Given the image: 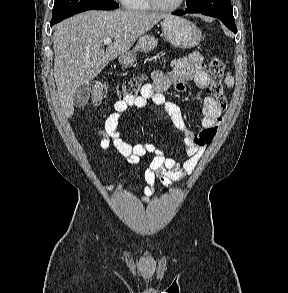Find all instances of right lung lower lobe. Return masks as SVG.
I'll return each instance as SVG.
<instances>
[{
  "instance_id": "right-lung-lower-lobe-1",
  "label": "right lung lower lobe",
  "mask_w": 288,
  "mask_h": 293,
  "mask_svg": "<svg viewBox=\"0 0 288 293\" xmlns=\"http://www.w3.org/2000/svg\"><path fill=\"white\" fill-rule=\"evenodd\" d=\"M56 23H58V22H51V23H50V26H53V25L56 24Z\"/></svg>"
}]
</instances>
